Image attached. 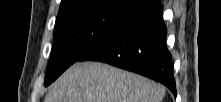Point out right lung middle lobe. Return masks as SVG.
Returning <instances> with one entry per match:
<instances>
[{"instance_id":"1","label":"right lung middle lobe","mask_w":221,"mask_h":102,"mask_svg":"<svg viewBox=\"0 0 221 102\" xmlns=\"http://www.w3.org/2000/svg\"><path fill=\"white\" fill-rule=\"evenodd\" d=\"M138 12L123 0H89L58 14L45 85Z\"/></svg>"}]
</instances>
